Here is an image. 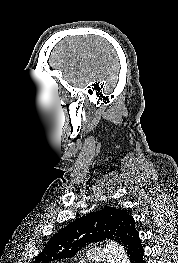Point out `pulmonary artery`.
Masks as SVG:
<instances>
[{"label": "pulmonary artery", "instance_id": "obj_1", "mask_svg": "<svg viewBox=\"0 0 178 263\" xmlns=\"http://www.w3.org/2000/svg\"><path fill=\"white\" fill-rule=\"evenodd\" d=\"M87 258L91 262L99 263L106 260V254L102 248H92L89 249Z\"/></svg>", "mask_w": 178, "mask_h": 263}]
</instances>
